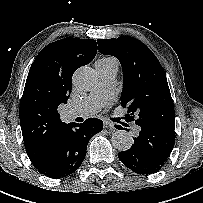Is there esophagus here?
Masks as SVG:
<instances>
[{
	"label": "esophagus",
	"mask_w": 203,
	"mask_h": 203,
	"mask_svg": "<svg viewBox=\"0 0 203 203\" xmlns=\"http://www.w3.org/2000/svg\"><path fill=\"white\" fill-rule=\"evenodd\" d=\"M103 124H104V128H109V129H111V130H114V129H115V128H114V124L111 123L110 121L104 120V121H103Z\"/></svg>",
	"instance_id": "34e87169"
}]
</instances>
